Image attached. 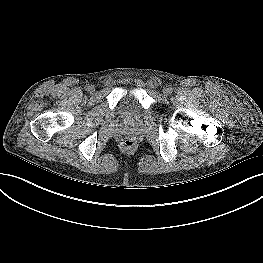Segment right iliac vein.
<instances>
[{"instance_id": "63e3f726", "label": "right iliac vein", "mask_w": 263, "mask_h": 263, "mask_svg": "<svg viewBox=\"0 0 263 263\" xmlns=\"http://www.w3.org/2000/svg\"><path fill=\"white\" fill-rule=\"evenodd\" d=\"M88 91L94 92V91H95V87H94L93 85H91V86L89 87V90H88Z\"/></svg>"}]
</instances>
